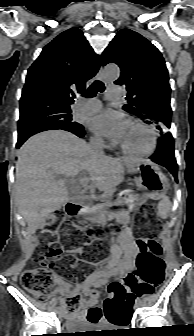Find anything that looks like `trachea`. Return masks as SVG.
I'll return each mask as SVG.
<instances>
[{
	"label": "trachea",
	"mask_w": 194,
	"mask_h": 336,
	"mask_svg": "<svg viewBox=\"0 0 194 336\" xmlns=\"http://www.w3.org/2000/svg\"><path fill=\"white\" fill-rule=\"evenodd\" d=\"M105 90L104 83L96 80L91 86L83 93V96L86 98H93L97 92H103Z\"/></svg>",
	"instance_id": "1"
}]
</instances>
